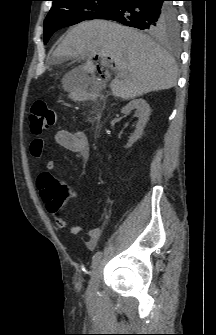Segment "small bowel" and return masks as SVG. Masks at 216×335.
Segmentation results:
<instances>
[{"instance_id": "1", "label": "small bowel", "mask_w": 216, "mask_h": 335, "mask_svg": "<svg viewBox=\"0 0 216 335\" xmlns=\"http://www.w3.org/2000/svg\"><path fill=\"white\" fill-rule=\"evenodd\" d=\"M55 142L60 147L80 155H86L88 151V139L86 134L82 131L71 132L68 130H58L55 134ZM44 145L45 139L43 137L34 138L30 144V154L34 158H39L42 155ZM54 167L55 163L53 160L46 163L45 170L38 176L37 188L48 212L54 216L57 227L64 229L68 227V224L60 214V206L57 205V201L53 197L46 199L44 196L50 192L54 183L52 174ZM73 196L76 197V194H73ZM69 231L73 235H77L82 231V227L74 224L69 227ZM102 231L101 226L93 227L88 231V238L85 240V246L88 249H94L96 247L102 235Z\"/></svg>"}]
</instances>
